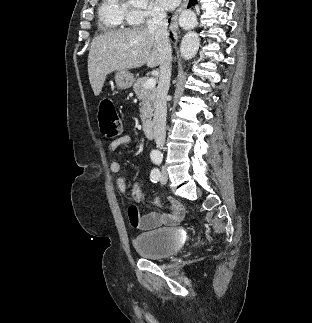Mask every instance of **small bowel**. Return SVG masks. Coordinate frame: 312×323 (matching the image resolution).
I'll return each instance as SVG.
<instances>
[{"instance_id": "c3829d8e", "label": "small bowel", "mask_w": 312, "mask_h": 323, "mask_svg": "<svg viewBox=\"0 0 312 323\" xmlns=\"http://www.w3.org/2000/svg\"><path fill=\"white\" fill-rule=\"evenodd\" d=\"M131 142L129 135H122L114 139L110 143V150L116 151L121 146L128 145ZM109 169L112 173H118L120 171V164L117 161H113L109 165ZM116 184L121 193L128 197V188L126 181L123 177L116 179ZM171 203L175 206V210L172 213L160 214L158 212H151L145 215H140L135 208L128 209V218L133 228L140 231H148L161 226H175L184 217V212L181 206L176 205L172 200Z\"/></svg>"}]
</instances>
